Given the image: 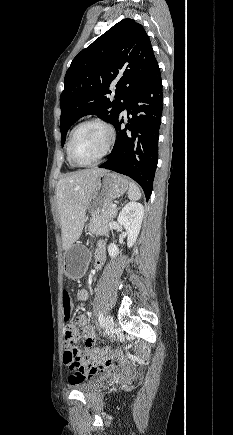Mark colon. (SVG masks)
<instances>
[{
	"instance_id": "colon-1",
	"label": "colon",
	"mask_w": 233,
	"mask_h": 435,
	"mask_svg": "<svg viewBox=\"0 0 233 435\" xmlns=\"http://www.w3.org/2000/svg\"><path fill=\"white\" fill-rule=\"evenodd\" d=\"M61 302L63 307V317L66 322L71 319L73 304L70 294L67 289L62 290ZM65 338L67 341V349L64 352V363L69 369L78 366L83 358V352L78 348L80 333L77 327L71 324L65 326ZM109 351L95 352L93 354L94 361L87 366V370L98 372L102 366L103 358Z\"/></svg>"
}]
</instances>
